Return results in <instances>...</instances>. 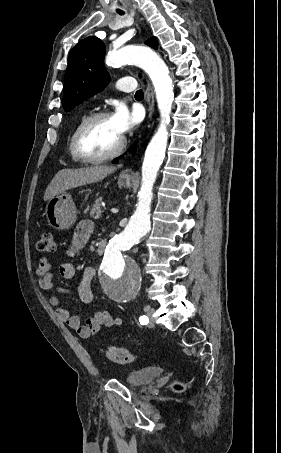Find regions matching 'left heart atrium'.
<instances>
[{
  "mask_svg": "<svg viewBox=\"0 0 281 453\" xmlns=\"http://www.w3.org/2000/svg\"><path fill=\"white\" fill-rule=\"evenodd\" d=\"M120 134H125L141 122V114L137 108L130 111L124 103H118L110 117Z\"/></svg>",
  "mask_w": 281,
  "mask_h": 453,
  "instance_id": "39dd6f15",
  "label": "left heart atrium"
}]
</instances>
